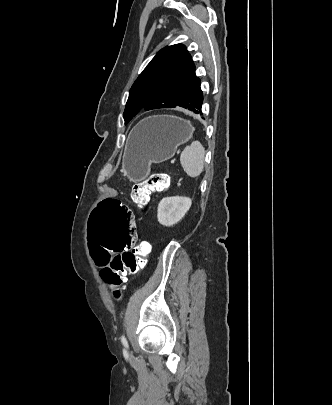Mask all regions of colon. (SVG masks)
I'll return each mask as SVG.
<instances>
[{
    "instance_id": "obj_1",
    "label": "colon",
    "mask_w": 332,
    "mask_h": 405,
    "mask_svg": "<svg viewBox=\"0 0 332 405\" xmlns=\"http://www.w3.org/2000/svg\"><path fill=\"white\" fill-rule=\"evenodd\" d=\"M171 185L170 176L154 173L136 183L131 190V198L138 205H146L151 192H162ZM91 248L89 257L93 268H105L102 279L110 286L112 296L120 299L127 275L140 271L146 263L150 244L137 243L139 227H135L134 214L126 202L118 197H105L103 202H95V211L90 212ZM115 257L114 259H108Z\"/></svg>"
}]
</instances>
